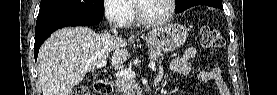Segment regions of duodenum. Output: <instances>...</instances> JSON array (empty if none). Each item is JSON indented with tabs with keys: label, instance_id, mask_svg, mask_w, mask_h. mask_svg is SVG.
I'll return each mask as SVG.
<instances>
[{
	"label": "duodenum",
	"instance_id": "obj_1",
	"mask_svg": "<svg viewBox=\"0 0 277 95\" xmlns=\"http://www.w3.org/2000/svg\"><path fill=\"white\" fill-rule=\"evenodd\" d=\"M94 88L99 94H111L113 82L110 80H99L95 83Z\"/></svg>",
	"mask_w": 277,
	"mask_h": 95
}]
</instances>
